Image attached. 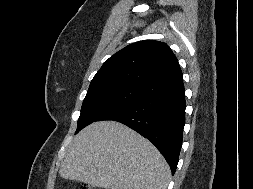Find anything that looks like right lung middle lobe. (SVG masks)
Returning a JSON list of instances; mask_svg holds the SVG:
<instances>
[{"label":"right lung middle lobe","instance_id":"obj_1","mask_svg":"<svg viewBox=\"0 0 253 189\" xmlns=\"http://www.w3.org/2000/svg\"><path fill=\"white\" fill-rule=\"evenodd\" d=\"M147 92L128 86H107L88 90L82 104L76 133L88 124L136 102Z\"/></svg>","mask_w":253,"mask_h":189}]
</instances>
